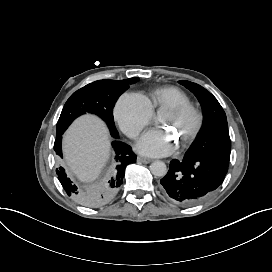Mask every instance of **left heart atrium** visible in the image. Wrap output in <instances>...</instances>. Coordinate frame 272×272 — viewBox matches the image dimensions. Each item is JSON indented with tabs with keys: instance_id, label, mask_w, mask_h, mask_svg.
<instances>
[{
	"instance_id": "1",
	"label": "left heart atrium",
	"mask_w": 272,
	"mask_h": 272,
	"mask_svg": "<svg viewBox=\"0 0 272 272\" xmlns=\"http://www.w3.org/2000/svg\"><path fill=\"white\" fill-rule=\"evenodd\" d=\"M139 148L149 155L165 156L173 152L175 147L172 136L167 131L155 128L144 135Z\"/></svg>"
}]
</instances>
